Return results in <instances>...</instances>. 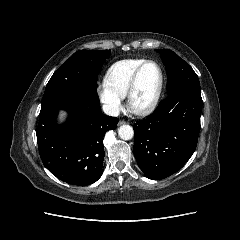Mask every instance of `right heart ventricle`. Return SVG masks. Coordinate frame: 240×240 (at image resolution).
Masks as SVG:
<instances>
[{"label":"right heart ventricle","mask_w":240,"mask_h":240,"mask_svg":"<svg viewBox=\"0 0 240 240\" xmlns=\"http://www.w3.org/2000/svg\"><path fill=\"white\" fill-rule=\"evenodd\" d=\"M144 59H124L112 64L105 74V85L121 98L126 96L130 79Z\"/></svg>","instance_id":"e07e8e85"}]
</instances>
